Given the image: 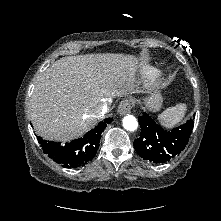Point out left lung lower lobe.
Wrapping results in <instances>:
<instances>
[{"mask_svg": "<svg viewBox=\"0 0 221 221\" xmlns=\"http://www.w3.org/2000/svg\"><path fill=\"white\" fill-rule=\"evenodd\" d=\"M138 121L141 134L134 141V148L139 156L154 163L167 162L179 154L188 143L194 126L190 119L184 125L167 131L146 113L139 116Z\"/></svg>", "mask_w": 221, "mask_h": 221, "instance_id": "obj_1", "label": "left lung lower lobe"}]
</instances>
